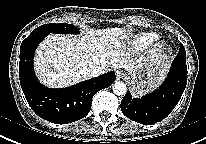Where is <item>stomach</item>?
I'll list each match as a JSON object with an SVG mask.
<instances>
[{
    "mask_svg": "<svg viewBox=\"0 0 206 144\" xmlns=\"http://www.w3.org/2000/svg\"><path fill=\"white\" fill-rule=\"evenodd\" d=\"M169 58V56H163V59H159L155 63L136 67L135 70L129 72L127 79L131 86L132 93L140 96L156 88L165 76Z\"/></svg>",
    "mask_w": 206,
    "mask_h": 144,
    "instance_id": "0dacf381",
    "label": "stomach"
}]
</instances>
